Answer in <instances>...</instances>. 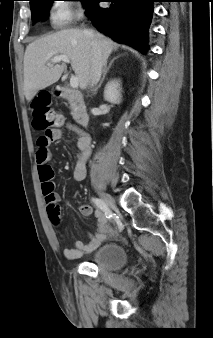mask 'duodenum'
<instances>
[{"label": "duodenum", "mask_w": 213, "mask_h": 338, "mask_svg": "<svg viewBox=\"0 0 213 338\" xmlns=\"http://www.w3.org/2000/svg\"><path fill=\"white\" fill-rule=\"evenodd\" d=\"M54 95L57 99H64L70 103L75 119L80 126L88 127L90 125V114L86 109L82 96L77 91L60 87L54 90Z\"/></svg>", "instance_id": "1"}]
</instances>
